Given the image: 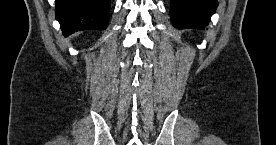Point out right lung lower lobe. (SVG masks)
Here are the masks:
<instances>
[{
  "instance_id": "1",
  "label": "right lung lower lobe",
  "mask_w": 276,
  "mask_h": 145,
  "mask_svg": "<svg viewBox=\"0 0 276 145\" xmlns=\"http://www.w3.org/2000/svg\"><path fill=\"white\" fill-rule=\"evenodd\" d=\"M109 11L110 0H56V19L65 37L81 30H104Z\"/></svg>"
}]
</instances>
